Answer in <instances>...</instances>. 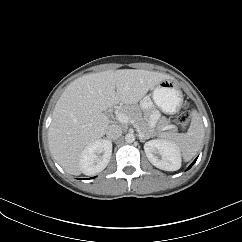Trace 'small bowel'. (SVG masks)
Returning a JSON list of instances; mask_svg holds the SVG:
<instances>
[{
    "label": "small bowel",
    "instance_id": "obj_1",
    "mask_svg": "<svg viewBox=\"0 0 242 242\" xmlns=\"http://www.w3.org/2000/svg\"><path fill=\"white\" fill-rule=\"evenodd\" d=\"M157 118L156 115H152V120H155Z\"/></svg>",
    "mask_w": 242,
    "mask_h": 242
}]
</instances>
